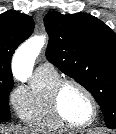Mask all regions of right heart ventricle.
I'll use <instances>...</instances> for the list:
<instances>
[{
	"label": "right heart ventricle",
	"mask_w": 116,
	"mask_h": 134,
	"mask_svg": "<svg viewBox=\"0 0 116 134\" xmlns=\"http://www.w3.org/2000/svg\"><path fill=\"white\" fill-rule=\"evenodd\" d=\"M60 79L56 70L35 71L30 89L23 91L16 105L24 123L44 131L66 128L55 116L51 104L52 90Z\"/></svg>",
	"instance_id": "1"
}]
</instances>
